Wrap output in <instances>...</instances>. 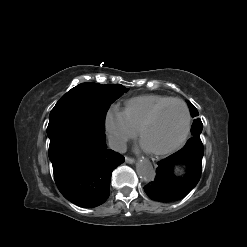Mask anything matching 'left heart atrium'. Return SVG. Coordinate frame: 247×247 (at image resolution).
Masks as SVG:
<instances>
[{
  "mask_svg": "<svg viewBox=\"0 0 247 247\" xmlns=\"http://www.w3.org/2000/svg\"><path fill=\"white\" fill-rule=\"evenodd\" d=\"M142 146H143L145 149H148L143 143H142Z\"/></svg>",
  "mask_w": 247,
  "mask_h": 247,
  "instance_id": "left-heart-atrium-1",
  "label": "left heart atrium"
}]
</instances>
